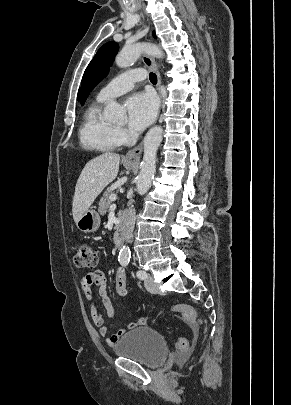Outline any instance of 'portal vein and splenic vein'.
I'll return each instance as SVG.
<instances>
[{"instance_id":"obj_1","label":"portal vein and splenic vein","mask_w":291,"mask_h":405,"mask_svg":"<svg viewBox=\"0 0 291 405\" xmlns=\"http://www.w3.org/2000/svg\"><path fill=\"white\" fill-rule=\"evenodd\" d=\"M117 199V196H116V194H112L111 196H110V200L111 201H115ZM114 206V205H113Z\"/></svg>"}]
</instances>
